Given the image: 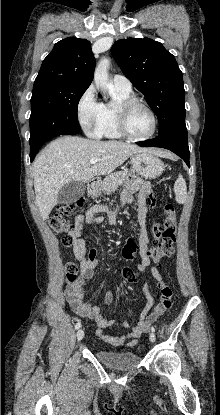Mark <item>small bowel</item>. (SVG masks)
<instances>
[{"instance_id":"small-bowel-1","label":"small bowel","mask_w":220,"mask_h":415,"mask_svg":"<svg viewBox=\"0 0 220 415\" xmlns=\"http://www.w3.org/2000/svg\"><path fill=\"white\" fill-rule=\"evenodd\" d=\"M135 193L137 194V236L140 254V264L138 268L141 271L150 269L152 276L158 281L161 274L158 268L152 265L148 255L149 242L146 231V214L150 186L146 181L139 179L125 188L121 195V205L117 209L107 210V208L101 204L90 205L84 213L77 215L75 225L69 233L73 239L75 256L81 261V272L78 279L65 288V299L79 317L94 321L98 327L96 330L97 336L112 346L124 344L128 347L135 346L142 334L150 328L161 314H158L155 311V308L151 311L154 306V301L148 292L147 285H144L143 291L145 293L146 303L140 313L137 324L131 328L129 333L124 335H111L105 332V329L114 325V320L106 319L102 315L100 307L92 305L85 300L86 295L93 294V292L86 287V282L95 277L99 259L96 249L87 248L82 234L86 226L100 224L104 221V217L100 215V213L104 211H107L108 222L113 223L121 208L132 203L133 195ZM112 299V294H107L106 302L111 303Z\"/></svg>"}]
</instances>
